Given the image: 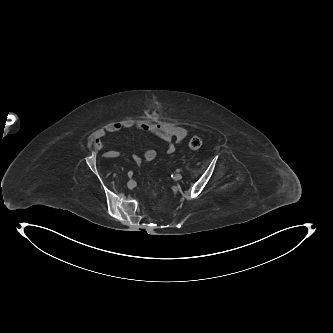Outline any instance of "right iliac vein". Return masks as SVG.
I'll return each mask as SVG.
<instances>
[{"instance_id":"obj_1","label":"right iliac vein","mask_w":333,"mask_h":333,"mask_svg":"<svg viewBox=\"0 0 333 333\" xmlns=\"http://www.w3.org/2000/svg\"><path fill=\"white\" fill-rule=\"evenodd\" d=\"M127 186H128L129 189H133L136 186V183H135L134 180H129L127 182Z\"/></svg>"}]
</instances>
